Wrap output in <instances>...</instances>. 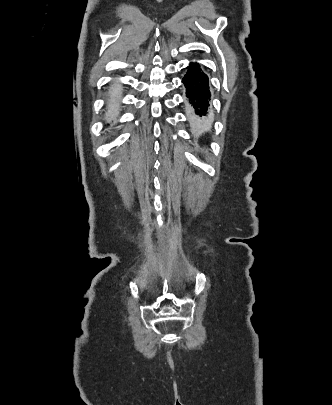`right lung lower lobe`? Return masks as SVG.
<instances>
[{
    "label": "right lung lower lobe",
    "instance_id": "right-lung-lower-lobe-1",
    "mask_svg": "<svg viewBox=\"0 0 332 405\" xmlns=\"http://www.w3.org/2000/svg\"><path fill=\"white\" fill-rule=\"evenodd\" d=\"M116 103H117L116 98H113L112 101H111L110 107L116 106Z\"/></svg>",
    "mask_w": 332,
    "mask_h": 405
}]
</instances>
